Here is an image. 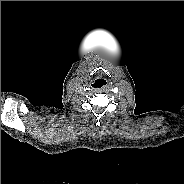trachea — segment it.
I'll use <instances>...</instances> for the list:
<instances>
[{
    "instance_id": "3493384b",
    "label": "trachea",
    "mask_w": 184,
    "mask_h": 184,
    "mask_svg": "<svg viewBox=\"0 0 184 184\" xmlns=\"http://www.w3.org/2000/svg\"><path fill=\"white\" fill-rule=\"evenodd\" d=\"M107 85V81L104 78H97L93 81L91 86L95 89H103Z\"/></svg>"
}]
</instances>
